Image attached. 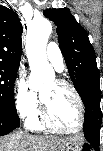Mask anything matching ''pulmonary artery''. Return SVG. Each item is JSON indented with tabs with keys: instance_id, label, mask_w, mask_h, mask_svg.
<instances>
[{
	"instance_id": "e3ab8cb5",
	"label": "pulmonary artery",
	"mask_w": 103,
	"mask_h": 151,
	"mask_svg": "<svg viewBox=\"0 0 103 151\" xmlns=\"http://www.w3.org/2000/svg\"><path fill=\"white\" fill-rule=\"evenodd\" d=\"M46 55H47L48 60L53 64V66L58 71L63 70L64 68L63 55L59 46L55 42H50L47 45Z\"/></svg>"
}]
</instances>
